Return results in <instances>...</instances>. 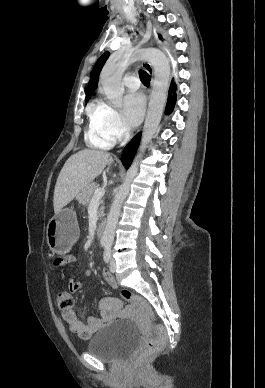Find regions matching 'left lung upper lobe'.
<instances>
[{"label":"left lung upper lobe","instance_id":"1","mask_svg":"<svg viewBox=\"0 0 265 388\" xmlns=\"http://www.w3.org/2000/svg\"><path fill=\"white\" fill-rule=\"evenodd\" d=\"M159 39H162L161 35H159Z\"/></svg>","mask_w":265,"mask_h":388}]
</instances>
